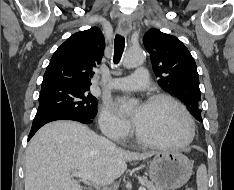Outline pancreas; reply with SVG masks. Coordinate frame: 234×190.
Returning a JSON list of instances; mask_svg holds the SVG:
<instances>
[{
    "mask_svg": "<svg viewBox=\"0 0 234 190\" xmlns=\"http://www.w3.org/2000/svg\"><path fill=\"white\" fill-rule=\"evenodd\" d=\"M139 181L147 187L148 190H163L162 188L154 185L151 181H149L146 177L139 178Z\"/></svg>",
    "mask_w": 234,
    "mask_h": 190,
    "instance_id": "1",
    "label": "pancreas"
}]
</instances>
